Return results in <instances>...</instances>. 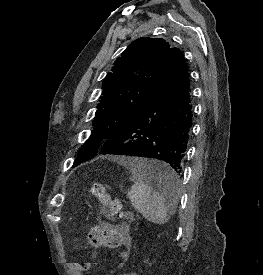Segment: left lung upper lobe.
<instances>
[{"label": "left lung upper lobe", "instance_id": "left-lung-upper-lobe-1", "mask_svg": "<svg viewBox=\"0 0 263 275\" xmlns=\"http://www.w3.org/2000/svg\"><path fill=\"white\" fill-rule=\"evenodd\" d=\"M177 51L161 38H139L128 45L103 80L94 129L73 167L95 157L106 140L124 129L161 83Z\"/></svg>", "mask_w": 263, "mask_h": 275}]
</instances>
